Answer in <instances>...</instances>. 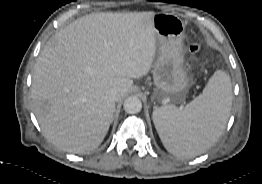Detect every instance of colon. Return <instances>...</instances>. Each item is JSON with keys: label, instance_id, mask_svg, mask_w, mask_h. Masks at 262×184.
I'll return each mask as SVG.
<instances>
[{"label": "colon", "instance_id": "colon-1", "mask_svg": "<svg viewBox=\"0 0 262 184\" xmlns=\"http://www.w3.org/2000/svg\"><path fill=\"white\" fill-rule=\"evenodd\" d=\"M200 51V45L195 43L191 46V57L188 61L189 68H195L197 65V53Z\"/></svg>", "mask_w": 262, "mask_h": 184}]
</instances>
